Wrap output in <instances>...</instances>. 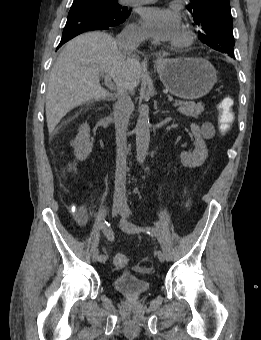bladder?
I'll use <instances>...</instances> for the list:
<instances>
[{"label": "bladder", "instance_id": "bladder-1", "mask_svg": "<svg viewBox=\"0 0 261 340\" xmlns=\"http://www.w3.org/2000/svg\"><path fill=\"white\" fill-rule=\"evenodd\" d=\"M113 287L120 294L130 298L140 297L149 292V284L145 279L127 273L115 277Z\"/></svg>", "mask_w": 261, "mask_h": 340}]
</instances>
